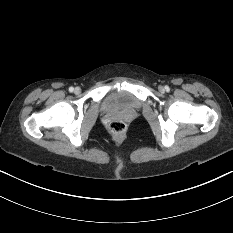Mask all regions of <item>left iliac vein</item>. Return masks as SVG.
<instances>
[{"label": "left iliac vein", "mask_w": 233, "mask_h": 233, "mask_svg": "<svg viewBox=\"0 0 233 233\" xmlns=\"http://www.w3.org/2000/svg\"><path fill=\"white\" fill-rule=\"evenodd\" d=\"M158 89H159V91L162 92V93L165 91L164 87H162V86H159Z\"/></svg>", "instance_id": "4c4485c4"}]
</instances>
